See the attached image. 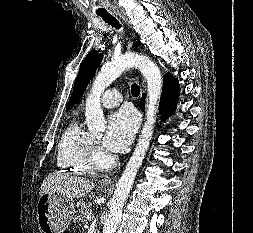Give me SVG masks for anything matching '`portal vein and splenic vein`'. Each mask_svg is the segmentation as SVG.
<instances>
[{
  "label": "portal vein and splenic vein",
  "instance_id": "portal-vein-and-splenic-vein-1",
  "mask_svg": "<svg viewBox=\"0 0 253 233\" xmlns=\"http://www.w3.org/2000/svg\"><path fill=\"white\" fill-rule=\"evenodd\" d=\"M86 218H87L88 221H91L92 220V214L91 213L87 214Z\"/></svg>",
  "mask_w": 253,
  "mask_h": 233
}]
</instances>
